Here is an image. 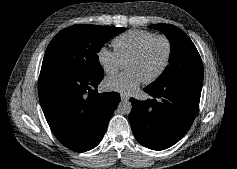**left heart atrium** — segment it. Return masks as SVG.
I'll list each match as a JSON object with an SVG mask.
<instances>
[{"label":"left heart atrium","instance_id":"39dd6f15","mask_svg":"<svg viewBox=\"0 0 237 169\" xmlns=\"http://www.w3.org/2000/svg\"><path fill=\"white\" fill-rule=\"evenodd\" d=\"M141 82L142 79L135 71L127 70L106 78L105 86L112 91L130 92L137 88Z\"/></svg>","mask_w":237,"mask_h":169}]
</instances>
